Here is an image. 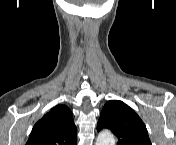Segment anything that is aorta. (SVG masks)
<instances>
[{
  "instance_id": "aorta-1",
  "label": "aorta",
  "mask_w": 176,
  "mask_h": 145,
  "mask_svg": "<svg viewBox=\"0 0 176 145\" xmlns=\"http://www.w3.org/2000/svg\"><path fill=\"white\" fill-rule=\"evenodd\" d=\"M96 145H115L114 135L110 131H102L98 134Z\"/></svg>"
}]
</instances>
